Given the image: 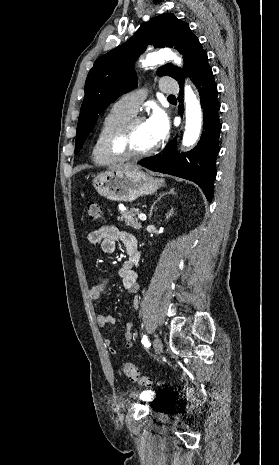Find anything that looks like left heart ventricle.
<instances>
[{
  "label": "left heart ventricle",
  "instance_id": "left-heart-ventricle-1",
  "mask_svg": "<svg viewBox=\"0 0 279 465\" xmlns=\"http://www.w3.org/2000/svg\"><path fill=\"white\" fill-rule=\"evenodd\" d=\"M155 140L149 131L146 122L137 123L128 134L125 147L132 152H142L151 148Z\"/></svg>",
  "mask_w": 279,
  "mask_h": 465
}]
</instances>
